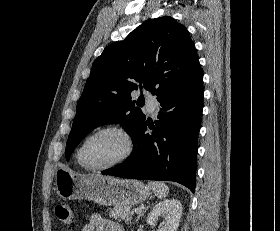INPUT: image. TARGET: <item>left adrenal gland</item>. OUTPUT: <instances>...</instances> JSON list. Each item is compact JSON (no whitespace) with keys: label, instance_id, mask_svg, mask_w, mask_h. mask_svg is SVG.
Wrapping results in <instances>:
<instances>
[{"label":"left adrenal gland","instance_id":"1","mask_svg":"<svg viewBox=\"0 0 280 231\" xmlns=\"http://www.w3.org/2000/svg\"><path fill=\"white\" fill-rule=\"evenodd\" d=\"M147 207H149V205H147ZM147 207H144V209H143L142 213H140V215H143V213H144L145 209H147ZM137 219H139V215H137Z\"/></svg>","mask_w":280,"mask_h":231}]
</instances>
